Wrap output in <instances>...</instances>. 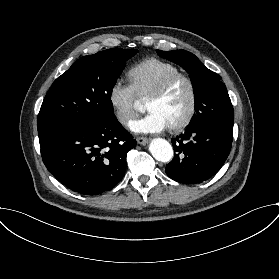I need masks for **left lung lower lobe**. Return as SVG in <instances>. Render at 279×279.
I'll use <instances>...</instances> for the list:
<instances>
[{
	"label": "left lung lower lobe",
	"instance_id": "1",
	"mask_svg": "<svg viewBox=\"0 0 279 279\" xmlns=\"http://www.w3.org/2000/svg\"><path fill=\"white\" fill-rule=\"evenodd\" d=\"M232 136L233 123L209 120L188 127L184 134L171 140L177 154L166 166V174L186 184L209 179L227 159Z\"/></svg>",
	"mask_w": 279,
	"mask_h": 279
}]
</instances>
